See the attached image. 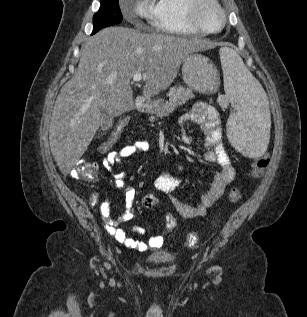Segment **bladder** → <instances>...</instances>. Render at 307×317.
Masks as SVG:
<instances>
[{
    "label": "bladder",
    "instance_id": "31cf9c89",
    "mask_svg": "<svg viewBox=\"0 0 307 317\" xmlns=\"http://www.w3.org/2000/svg\"><path fill=\"white\" fill-rule=\"evenodd\" d=\"M148 261L154 264H166L172 262L173 257L171 255H152Z\"/></svg>",
    "mask_w": 307,
    "mask_h": 317
}]
</instances>
